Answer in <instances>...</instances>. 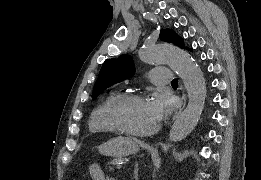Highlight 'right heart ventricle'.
<instances>
[{"instance_id":"obj_1","label":"right heart ventricle","mask_w":261,"mask_h":180,"mask_svg":"<svg viewBox=\"0 0 261 180\" xmlns=\"http://www.w3.org/2000/svg\"><path fill=\"white\" fill-rule=\"evenodd\" d=\"M120 95L119 91H109L91 112L88 133H104V138H91L95 142H103L115 137L107 119V110Z\"/></svg>"}]
</instances>
